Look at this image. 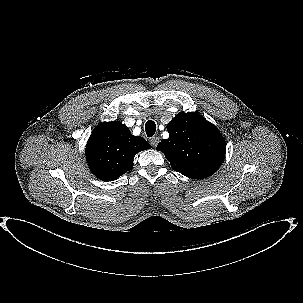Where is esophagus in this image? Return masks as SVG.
Instances as JSON below:
<instances>
[{
	"instance_id": "esophagus-1",
	"label": "esophagus",
	"mask_w": 303,
	"mask_h": 303,
	"mask_svg": "<svg viewBox=\"0 0 303 303\" xmlns=\"http://www.w3.org/2000/svg\"><path fill=\"white\" fill-rule=\"evenodd\" d=\"M158 142H159V137H152V138L150 139V144H151L153 147H156L157 144H158Z\"/></svg>"
}]
</instances>
